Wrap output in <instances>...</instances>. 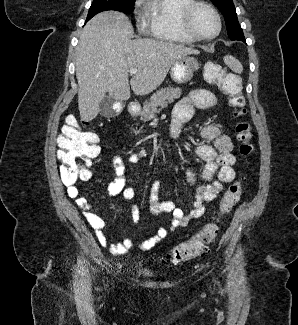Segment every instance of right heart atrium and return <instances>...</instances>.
Masks as SVG:
<instances>
[{
    "mask_svg": "<svg viewBox=\"0 0 298 325\" xmlns=\"http://www.w3.org/2000/svg\"><path fill=\"white\" fill-rule=\"evenodd\" d=\"M139 8H140V4L138 3V4L136 5V13H137V11H138Z\"/></svg>",
    "mask_w": 298,
    "mask_h": 325,
    "instance_id": "d8ad5b80",
    "label": "right heart atrium"
}]
</instances>
